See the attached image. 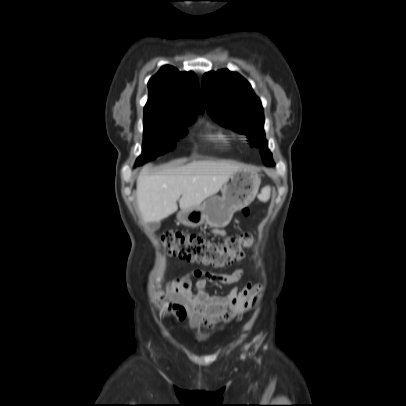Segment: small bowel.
Segmentation results:
<instances>
[{
    "label": "small bowel",
    "instance_id": "1",
    "mask_svg": "<svg viewBox=\"0 0 406 406\" xmlns=\"http://www.w3.org/2000/svg\"><path fill=\"white\" fill-rule=\"evenodd\" d=\"M213 233L226 235L222 230H213ZM243 275V269H237L231 274L194 270L172 280L167 285V293L173 303L176 317L180 321L188 319L190 327L196 329L202 326L211 327L222 321H234L246 309L250 297L260 289V285L248 283L240 293L233 287L225 296L209 295L205 286L207 282L234 285ZM192 277L200 278L195 285V291L191 288Z\"/></svg>",
    "mask_w": 406,
    "mask_h": 406
}]
</instances>
